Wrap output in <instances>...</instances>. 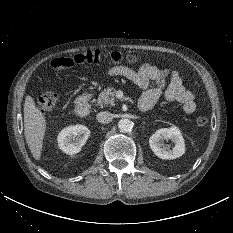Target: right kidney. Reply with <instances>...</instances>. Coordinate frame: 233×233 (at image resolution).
<instances>
[{"label":"right kidney","mask_w":233,"mask_h":233,"mask_svg":"<svg viewBox=\"0 0 233 233\" xmlns=\"http://www.w3.org/2000/svg\"><path fill=\"white\" fill-rule=\"evenodd\" d=\"M90 130L84 125L68 126L61 130L57 137L59 148L68 155H73L81 151L85 145Z\"/></svg>","instance_id":"right-kidney-1"}]
</instances>
